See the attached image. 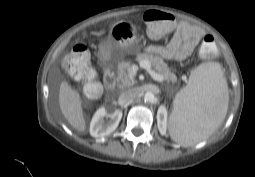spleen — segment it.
I'll use <instances>...</instances> for the list:
<instances>
[{"label":"spleen","mask_w":255,"mask_h":177,"mask_svg":"<svg viewBox=\"0 0 255 177\" xmlns=\"http://www.w3.org/2000/svg\"><path fill=\"white\" fill-rule=\"evenodd\" d=\"M228 102V85L220 64L199 65L175 97L168 123L171 138L185 147L208 138L225 119Z\"/></svg>","instance_id":"spleen-1"}]
</instances>
